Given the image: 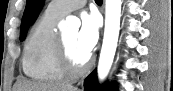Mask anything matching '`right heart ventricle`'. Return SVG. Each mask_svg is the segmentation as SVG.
Wrapping results in <instances>:
<instances>
[{
  "mask_svg": "<svg viewBox=\"0 0 173 91\" xmlns=\"http://www.w3.org/2000/svg\"><path fill=\"white\" fill-rule=\"evenodd\" d=\"M61 18L46 10L32 27L25 42L23 71L35 81L52 84L66 78L57 60L59 33L56 25Z\"/></svg>",
  "mask_w": 173,
  "mask_h": 91,
  "instance_id": "1",
  "label": "right heart ventricle"
}]
</instances>
